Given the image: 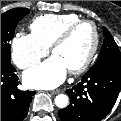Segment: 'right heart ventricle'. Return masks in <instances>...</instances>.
Here are the masks:
<instances>
[{
    "label": "right heart ventricle",
    "instance_id": "e07e8e85",
    "mask_svg": "<svg viewBox=\"0 0 121 121\" xmlns=\"http://www.w3.org/2000/svg\"><path fill=\"white\" fill-rule=\"evenodd\" d=\"M80 19L72 13L45 14L34 18L30 29L38 41L49 48L67 26Z\"/></svg>",
    "mask_w": 121,
    "mask_h": 121
}]
</instances>
